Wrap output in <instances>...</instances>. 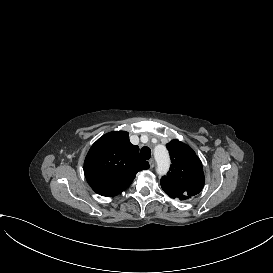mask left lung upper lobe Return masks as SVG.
Masks as SVG:
<instances>
[{
    "mask_svg": "<svg viewBox=\"0 0 273 273\" xmlns=\"http://www.w3.org/2000/svg\"><path fill=\"white\" fill-rule=\"evenodd\" d=\"M166 147L171 157L170 170L161 179V187L171 198L188 199L204 186V173L200 159L186 144L172 140Z\"/></svg>",
    "mask_w": 273,
    "mask_h": 273,
    "instance_id": "left-lung-upper-lobe-1",
    "label": "left lung upper lobe"
}]
</instances>
